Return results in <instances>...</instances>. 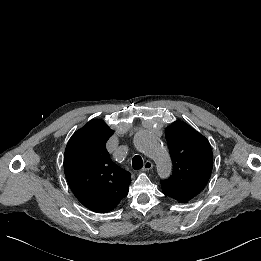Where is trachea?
<instances>
[{
  "label": "trachea",
  "instance_id": "trachea-1",
  "mask_svg": "<svg viewBox=\"0 0 261 261\" xmlns=\"http://www.w3.org/2000/svg\"><path fill=\"white\" fill-rule=\"evenodd\" d=\"M132 167L134 170H139L143 167V160L141 156H134L132 159Z\"/></svg>",
  "mask_w": 261,
  "mask_h": 261
}]
</instances>
